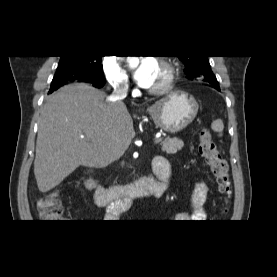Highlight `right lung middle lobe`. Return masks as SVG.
<instances>
[{
    "mask_svg": "<svg viewBox=\"0 0 277 277\" xmlns=\"http://www.w3.org/2000/svg\"><path fill=\"white\" fill-rule=\"evenodd\" d=\"M102 56H61L49 92H53L60 85L71 80L86 78L95 82H104L101 67Z\"/></svg>",
    "mask_w": 277,
    "mask_h": 277,
    "instance_id": "right-lung-middle-lobe-1",
    "label": "right lung middle lobe"
}]
</instances>
